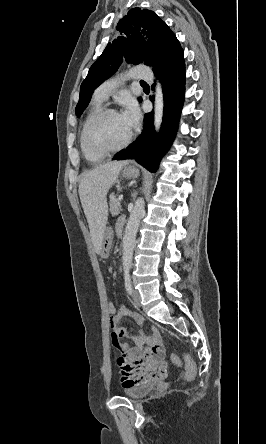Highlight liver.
Returning a JSON list of instances; mask_svg holds the SVG:
<instances>
[{"label":"liver","mask_w":266,"mask_h":444,"mask_svg":"<svg viewBox=\"0 0 266 444\" xmlns=\"http://www.w3.org/2000/svg\"><path fill=\"white\" fill-rule=\"evenodd\" d=\"M128 161H114L86 172L79 184L80 201L88 221L91 239L100 253L108 219L107 193Z\"/></svg>","instance_id":"6515ba94"}]
</instances>
